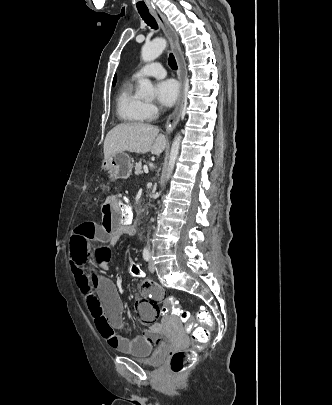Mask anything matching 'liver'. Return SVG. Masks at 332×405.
Returning a JSON list of instances; mask_svg holds the SVG:
<instances>
[{
	"label": "liver",
	"instance_id": "6515ba94",
	"mask_svg": "<svg viewBox=\"0 0 332 405\" xmlns=\"http://www.w3.org/2000/svg\"><path fill=\"white\" fill-rule=\"evenodd\" d=\"M167 145L166 136L157 127L145 123H123L108 132L104 141V158L123 151L161 154Z\"/></svg>",
	"mask_w": 332,
	"mask_h": 405
}]
</instances>
